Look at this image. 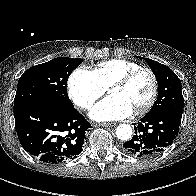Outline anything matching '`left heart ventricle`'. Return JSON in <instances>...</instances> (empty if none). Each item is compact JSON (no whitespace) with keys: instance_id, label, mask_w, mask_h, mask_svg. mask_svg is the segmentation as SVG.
<instances>
[{"instance_id":"1","label":"left heart ventricle","mask_w":196,"mask_h":196,"mask_svg":"<svg viewBox=\"0 0 196 196\" xmlns=\"http://www.w3.org/2000/svg\"><path fill=\"white\" fill-rule=\"evenodd\" d=\"M152 81L147 73H141L124 87L110 90V95H115L131 105L133 110L143 105L150 97Z\"/></svg>"}]
</instances>
